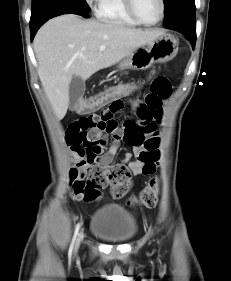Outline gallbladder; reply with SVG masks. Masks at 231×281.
<instances>
[{
	"instance_id": "gallbladder-1",
	"label": "gallbladder",
	"mask_w": 231,
	"mask_h": 281,
	"mask_svg": "<svg viewBox=\"0 0 231 281\" xmlns=\"http://www.w3.org/2000/svg\"><path fill=\"white\" fill-rule=\"evenodd\" d=\"M85 92V82L79 76H73L69 84V101L70 107L75 108L79 99L83 96Z\"/></svg>"
}]
</instances>
